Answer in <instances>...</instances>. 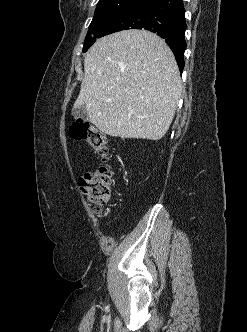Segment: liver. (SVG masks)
<instances>
[{"label": "liver", "instance_id": "6515ba94", "mask_svg": "<svg viewBox=\"0 0 247 332\" xmlns=\"http://www.w3.org/2000/svg\"><path fill=\"white\" fill-rule=\"evenodd\" d=\"M175 57L158 35L124 30L98 39L87 52L74 108L86 107L101 132L159 140L181 96Z\"/></svg>", "mask_w": 247, "mask_h": 332}]
</instances>
